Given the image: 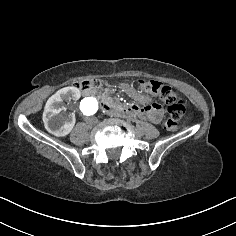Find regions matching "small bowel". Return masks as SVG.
<instances>
[{
    "mask_svg": "<svg viewBox=\"0 0 236 236\" xmlns=\"http://www.w3.org/2000/svg\"><path fill=\"white\" fill-rule=\"evenodd\" d=\"M136 108L139 117L148 119L152 123H159L162 119L163 112L158 104L136 106Z\"/></svg>",
    "mask_w": 236,
    "mask_h": 236,
    "instance_id": "obj_1",
    "label": "small bowel"
}]
</instances>
